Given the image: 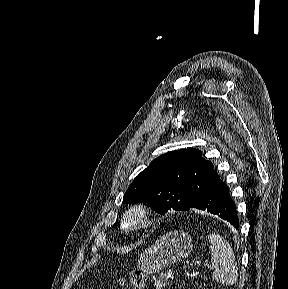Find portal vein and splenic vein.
<instances>
[{
    "mask_svg": "<svg viewBox=\"0 0 288 289\" xmlns=\"http://www.w3.org/2000/svg\"><path fill=\"white\" fill-rule=\"evenodd\" d=\"M188 266H189V262H186L185 266H184L183 269H182V271H183L184 273L187 272ZM206 266H207L208 268H210V269L212 268L211 265L206 264ZM171 276H172V273H169V277H171Z\"/></svg>",
    "mask_w": 288,
    "mask_h": 289,
    "instance_id": "obj_1",
    "label": "portal vein and splenic vein"
}]
</instances>
